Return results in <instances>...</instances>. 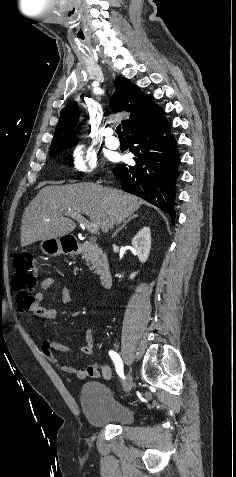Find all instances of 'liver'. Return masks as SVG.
I'll use <instances>...</instances> for the list:
<instances>
[{
    "instance_id": "obj_1",
    "label": "liver",
    "mask_w": 236,
    "mask_h": 477,
    "mask_svg": "<svg viewBox=\"0 0 236 477\" xmlns=\"http://www.w3.org/2000/svg\"><path fill=\"white\" fill-rule=\"evenodd\" d=\"M142 202L121 190L92 183L45 186L25 209L22 216L21 245L66 236L75 222L66 212L84 214L103 233L137 211Z\"/></svg>"
}]
</instances>
